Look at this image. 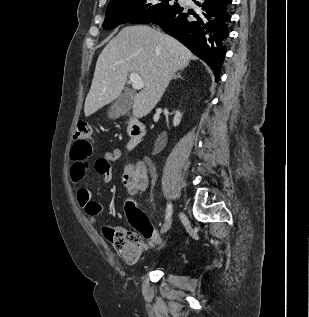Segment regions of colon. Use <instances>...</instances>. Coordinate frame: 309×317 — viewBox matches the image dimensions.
<instances>
[{
    "label": "colon",
    "mask_w": 309,
    "mask_h": 317,
    "mask_svg": "<svg viewBox=\"0 0 309 317\" xmlns=\"http://www.w3.org/2000/svg\"><path fill=\"white\" fill-rule=\"evenodd\" d=\"M76 142L73 145L72 153L79 148L91 153L92 129L86 122H79L75 129ZM127 216L131 228L108 227L105 235L110 241L118 255L127 263H135L143 249L144 241H157V232L149 218L139 210L133 203L126 206Z\"/></svg>",
    "instance_id": "5ec220e1"
}]
</instances>
